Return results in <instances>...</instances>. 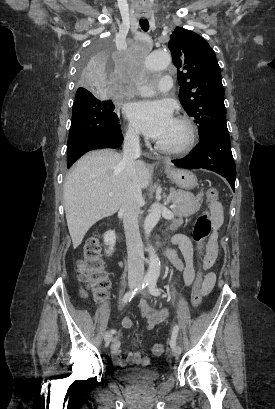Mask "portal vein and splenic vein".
<instances>
[{"label":"portal vein and splenic vein","mask_w":275,"mask_h":409,"mask_svg":"<svg viewBox=\"0 0 275 409\" xmlns=\"http://www.w3.org/2000/svg\"><path fill=\"white\" fill-rule=\"evenodd\" d=\"M109 194H112V192H109ZM174 207H176V205H170L169 209H174Z\"/></svg>","instance_id":"obj_1"}]
</instances>
